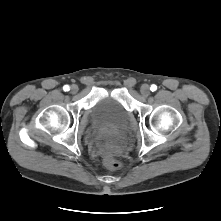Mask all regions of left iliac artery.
<instances>
[{
  "mask_svg": "<svg viewBox=\"0 0 221 221\" xmlns=\"http://www.w3.org/2000/svg\"><path fill=\"white\" fill-rule=\"evenodd\" d=\"M150 90L153 92V91H156L157 90V86L155 84L151 85L150 87Z\"/></svg>",
  "mask_w": 221,
  "mask_h": 221,
  "instance_id": "1",
  "label": "left iliac artery"
}]
</instances>
